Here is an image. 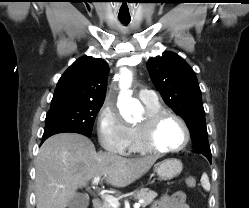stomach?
Instances as JSON below:
<instances>
[{
    "label": "stomach",
    "instance_id": "stomach-1",
    "mask_svg": "<svg viewBox=\"0 0 249 208\" xmlns=\"http://www.w3.org/2000/svg\"><path fill=\"white\" fill-rule=\"evenodd\" d=\"M182 162L171 158L163 160L155 165V172L162 180H170L177 177L182 171Z\"/></svg>",
    "mask_w": 249,
    "mask_h": 208
}]
</instances>
